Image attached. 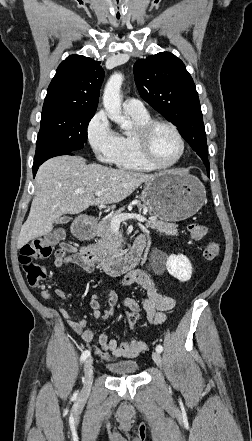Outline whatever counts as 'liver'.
<instances>
[{"label":"liver","instance_id":"obj_1","mask_svg":"<svg viewBox=\"0 0 252 441\" xmlns=\"http://www.w3.org/2000/svg\"><path fill=\"white\" fill-rule=\"evenodd\" d=\"M155 175L86 164L76 156H58L44 162L35 178V195L17 247L45 236L63 214H79L91 205L118 203ZM103 190L95 198V192Z\"/></svg>","mask_w":252,"mask_h":441}]
</instances>
